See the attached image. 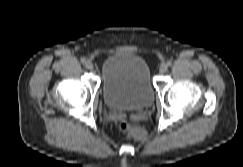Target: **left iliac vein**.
<instances>
[{
    "label": "left iliac vein",
    "mask_w": 243,
    "mask_h": 167,
    "mask_svg": "<svg viewBox=\"0 0 243 167\" xmlns=\"http://www.w3.org/2000/svg\"><path fill=\"white\" fill-rule=\"evenodd\" d=\"M168 67L166 64H161L160 67H159V71L161 73H165L167 71Z\"/></svg>",
    "instance_id": "left-iliac-vein-1"
}]
</instances>
